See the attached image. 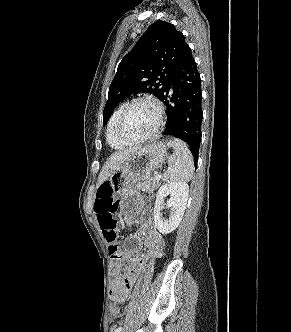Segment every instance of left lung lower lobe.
Returning <instances> with one entry per match:
<instances>
[{"label":"left lung lower lobe","instance_id":"0a47b994","mask_svg":"<svg viewBox=\"0 0 291 332\" xmlns=\"http://www.w3.org/2000/svg\"><path fill=\"white\" fill-rule=\"evenodd\" d=\"M160 100L168 109L163 135L175 136L186 142L197 162L203 118L202 92L200 74L188 45Z\"/></svg>","mask_w":291,"mask_h":332}]
</instances>
